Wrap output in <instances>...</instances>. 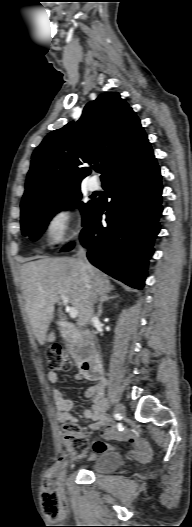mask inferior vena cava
I'll return each instance as SVG.
<instances>
[{"label":"inferior vena cava","mask_w":192,"mask_h":527,"mask_svg":"<svg viewBox=\"0 0 192 527\" xmlns=\"http://www.w3.org/2000/svg\"><path fill=\"white\" fill-rule=\"evenodd\" d=\"M77 260H78V263L80 265V270H81V274L83 276L84 284H85L86 288L89 289V283H90L91 277H90L89 273L87 272V270L90 269V264H89V262H88V260L86 258L85 249L80 244H78ZM91 312H92V314H91L90 322L93 324L95 321L98 320V317L95 314H93V309H92Z\"/></svg>","instance_id":"602c4592"}]
</instances>
